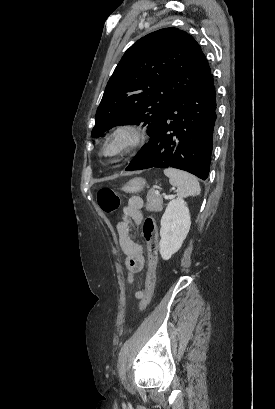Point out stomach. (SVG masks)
<instances>
[{"label": "stomach", "mask_w": 275, "mask_h": 409, "mask_svg": "<svg viewBox=\"0 0 275 409\" xmlns=\"http://www.w3.org/2000/svg\"><path fill=\"white\" fill-rule=\"evenodd\" d=\"M145 184V178L136 176V178H131L129 182H126V184L122 186V190H125V192H140V190L144 188Z\"/></svg>", "instance_id": "stomach-1"}]
</instances>
